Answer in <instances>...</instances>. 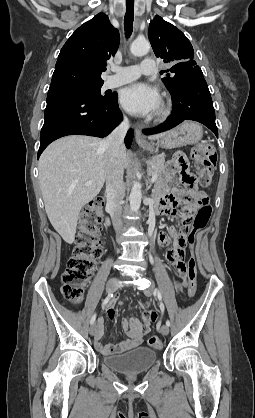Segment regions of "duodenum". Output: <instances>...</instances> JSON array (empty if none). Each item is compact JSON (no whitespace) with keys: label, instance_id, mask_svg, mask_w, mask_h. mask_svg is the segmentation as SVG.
Listing matches in <instances>:
<instances>
[{"label":"duodenum","instance_id":"410a0bca","mask_svg":"<svg viewBox=\"0 0 255 418\" xmlns=\"http://www.w3.org/2000/svg\"><path fill=\"white\" fill-rule=\"evenodd\" d=\"M106 224L109 225L110 224V220L109 217L106 218Z\"/></svg>","mask_w":255,"mask_h":418}]
</instances>
